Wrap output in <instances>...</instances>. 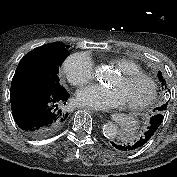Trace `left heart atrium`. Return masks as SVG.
I'll return each mask as SVG.
<instances>
[{
  "label": "left heart atrium",
  "mask_w": 177,
  "mask_h": 177,
  "mask_svg": "<svg viewBox=\"0 0 177 177\" xmlns=\"http://www.w3.org/2000/svg\"><path fill=\"white\" fill-rule=\"evenodd\" d=\"M76 99L79 104L97 110H107L124 104V100L117 89L97 84L80 89Z\"/></svg>",
  "instance_id": "left-heart-atrium-1"
}]
</instances>
